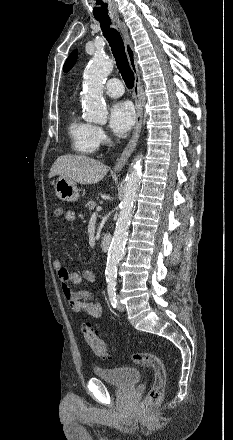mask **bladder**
Masks as SVG:
<instances>
[{
    "mask_svg": "<svg viewBox=\"0 0 233 440\" xmlns=\"http://www.w3.org/2000/svg\"><path fill=\"white\" fill-rule=\"evenodd\" d=\"M93 374L96 378L119 388L134 387L141 379V371L134 367H94Z\"/></svg>",
    "mask_w": 233,
    "mask_h": 440,
    "instance_id": "bladder-1",
    "label": "bladder"
}]
</instances>
